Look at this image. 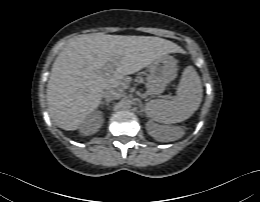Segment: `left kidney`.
Segmentation results:
<instances>
[{
  "instance_id": "obj_1",
  "label": "left kidney",
  "mask_w": 260,
  "mask_h": 202,
  "mask_svg": "<svg viewBox=\"0 0 260 202\" xmlns=\"http://www.w3.org/2000/svg\"><path fill=\"white\" fill-rule=\"evenodd\" d=\"M176 129L170 127L160 126L154 123L148 124V132L156 140L164 137H169Z\"/></svg>"
}]
</instances>
